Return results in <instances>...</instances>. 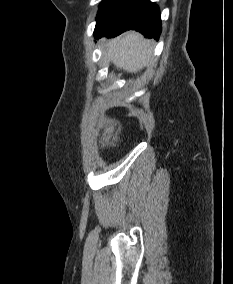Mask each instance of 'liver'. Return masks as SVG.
Returning a JSON list of instances; mask_svg holds the SVG:
<instances>
[{"label": "liver", "mask_w": 233, "mask_h": 284, "mask_svg": "<svg viewBox=\"0 0 233 284\" xmlns=\"http://www.w3.org/2000/svg\"><path fill=\"white\" fill-rule=\"evenodd\" d=\"M151 42L137 32L108 41L106 51L117 68L135 73L147 64L151 56Z\"/></svg>", "instance_id": "liver-1"}]
</instances>
